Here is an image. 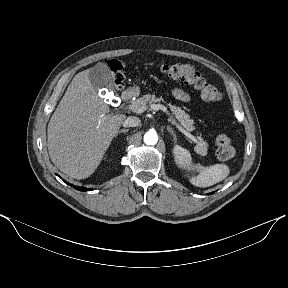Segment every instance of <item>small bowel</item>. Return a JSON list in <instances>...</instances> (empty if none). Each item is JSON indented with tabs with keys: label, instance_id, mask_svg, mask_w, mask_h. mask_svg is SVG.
<instances>
[{
	"label": "small bowel",
	"instance_id": "c3829d8e",
	"mask_svg": "<svg viewBox=\"0 0 288 288\" xmlns=\"http://www.w3.org/2000/svg\"><path fill=\"white\" fill-rule=\"evenodd\" d=\"M172 94L177 100H180L183 102H188L190 100L189 94L180 88L174 89Z\"/></svg>",
	"mask_w": 288,
	"mask_h": 288
}]
</instances>
